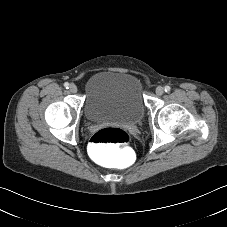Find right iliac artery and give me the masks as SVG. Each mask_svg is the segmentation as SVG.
I'll return each instance as SVG.
<instances>
[{"label":"right iliac artery","instance_id":"obj_1","mask_svg":"<svg viewBox=\"0 0 227 227\" xmlns=\"http://www.w3.org/2000/svg\"><path fill=\"white\" fill-rule=\"evenodd\" d=\"M69 86H70V85H69V83H68V82H65V83H64V87H65L66 89H68V88H69Z\"/></svg>","mask_w":227,"mask_h":227}]
</instances>
